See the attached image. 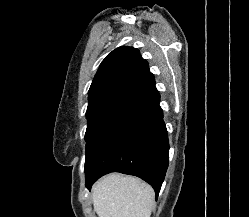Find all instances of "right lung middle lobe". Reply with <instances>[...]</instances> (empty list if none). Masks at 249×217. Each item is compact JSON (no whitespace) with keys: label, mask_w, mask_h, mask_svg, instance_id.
<instances>
[{"label":"right lung middle lobe","mask_w":249,"mask_h":217,"mask_svg":"<svg viewBox=\"0 0 249 217\" xmlns=\"http://www.w3.org/2000/svg\"><path fill=\"white\" fill-rule=\"evenodd\" d=\"M120 92L106 93L95 98H92L88 102L86 117L88 125L85 133L86 148L90 143L92 134L97 127L99 121L109 109V107L122 95Z\"/></svg>","instance_id":"dd1d6c3e"}]
</instances>
